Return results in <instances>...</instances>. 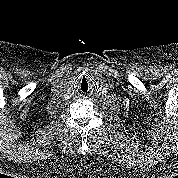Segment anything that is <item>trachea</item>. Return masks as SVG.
<instances>
[{
	"label": "trachea",
	"instance_id": "trachea-1",
	"mask_svg": "<svg viewBox=\"0 0 178 178\" xmlns=\"http://www.w3.org/2000/svg\"><path fill=\"white\" fill-rule=\"evenodd\" d=\"M79 90L83 93L89 90V81L86 77H82L78 82Z\"/></svg>",
	"mask_w": 178,
	"mask_h": 178
}]
</instances>
